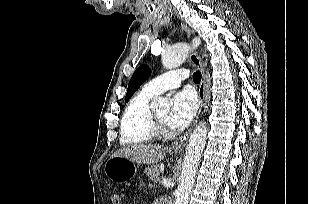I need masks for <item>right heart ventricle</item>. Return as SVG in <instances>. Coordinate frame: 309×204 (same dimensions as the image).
<instances>
[{
    "mask_svg": "<svg viewBox=\"0 0 309 204\" xmlns=\"http://www.w3.org/2000/svg\"><path fill=\"white\" fill-rule=\"evenodd\" d=\"M154 95L144 90L134 95L127 103L120 122V141L134 145L152 141L158 134L151 118L150 101Z\"/></svg>",
    "mask_w": 309,
    "mask_h": 204,
    "instance_id": "1",
    "label": "right heart ventricle"
}]
</instances>
